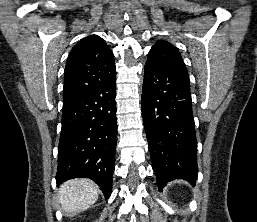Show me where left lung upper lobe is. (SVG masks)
Here are the masks:
<instances>
[{
    "label": "left lung upper lobe",
    "instance_id": "1",
    "mask_svg": "<svg viewBox=\"0 0 257 222\" xmlns=\"http://www.w3.org/2000/svg\"><path fill=\"white\" fill-rule=\"evenodd\" d=\"M148 61L162 65L183 77L189 78L187 68L178 49L167 41L160 40L153 45L148 53Z\"/></svg>",
    "mask_w": 257,
    "mask_h": 222
}]
</instances>
